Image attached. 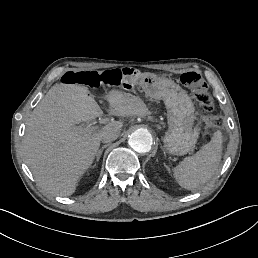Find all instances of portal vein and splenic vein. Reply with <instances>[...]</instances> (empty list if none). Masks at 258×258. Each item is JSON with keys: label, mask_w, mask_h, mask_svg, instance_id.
I'll use <instances>...</instances> for the list:
<instances>
[{"label": "portal vein and splenic vein", "mask_w": 258, "mask_h": 258, "mask_svg": "<svg viewBox=\"0 0 258 258\" xmlns=\"http://www.w3.org/2000/svg\"><path fill=\"white\" fill-rule=\"evenodd\" d=\"M77 128H78L80 131H84L83 128H82V126H78ZM88 130H90V131H95V130H97V127H90V126H88Z\"/></svg>", "instance_id": "portal-vein-and-splenic-vein-1"}]
</instances>
